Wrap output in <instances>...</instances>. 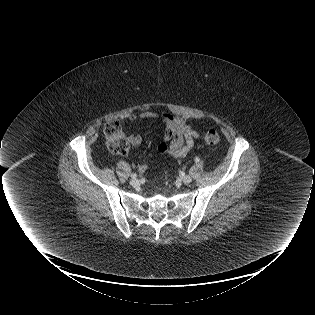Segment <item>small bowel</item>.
Instances as JSON below:
<instances>
[{"label": "small bowel", "instance_id": "small-bowel-1", "mask_svg": "<svg viewBox=\"0 0 315 315\" xmlns=\"http://www.w3.org/2000/svg\"><path fill=\"white\" fill-rule=\"evenodd\" d=\"M142 119H153L161 121L166 129L163 140L157 143V151L160 155H170L174 158H183L189 154L194 147V141L200 136V129L194 127L183 117L170 114L168 112L155 113L143 111L130 114L124 118L125 121L133 122ZM133 147H138L142 143V137L132 134L128 138ZM139 172L143 173L147 169L146 164L137 166Z\"/></svg>", "mask_w": 315, "mask_h": 315}]
</instances>
